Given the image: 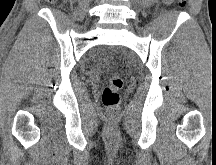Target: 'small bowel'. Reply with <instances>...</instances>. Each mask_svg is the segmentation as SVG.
<instances>
[{"label": "small bowel", "mask_w": 216, "mask_h": 165, "mask_svg": "<svg viewBox=\"0 0 216 165\" xmlns=\"http://www.w3.org/2000/svg\"><path fill=\"white\" fill-rule=\"evenodd\" d=\"M165 1V3H170V2H172V0H164Z\"/></svg>", "instance_id": "small-bowel-1"}]
</instances>
